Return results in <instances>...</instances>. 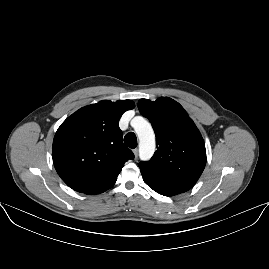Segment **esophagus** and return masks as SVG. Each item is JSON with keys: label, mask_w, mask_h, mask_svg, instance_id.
<instances>
[{"label": "esophagus", "mask_w": 269, "mask_h": 269, "mask_svg": "<svg viewBox=\"0 0 269 269\" xmlns=\"http://www.w3.org/2000/svg\"><path fill=\"white\" fill-rule=\"evenodd\" d=\"M134 156H135V160L138 158V149H134L133 150Z\"/></svg>", "instance_id": "obj_1"}]
</instances>
